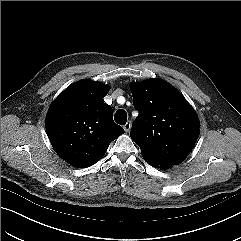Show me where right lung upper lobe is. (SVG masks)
Returning <instances> with one entry per match:
<instances>
[{
  "label": "right lung upper lobe",
  "instance_id": "right-lung-upper-lobe-1",
  "mask_svg": "<svg viewBox=\"0 0 241 241\" xmlns=\"http://www.w3.org/2000/svg\"><path fill=\"white\" fill-rule=\"evenodd\" d=\"M108 91L102 83L80 80L51 104L46 130L53 148L67 163L79 168L92 166L124 133L113 121L112 108L104 103Z\"/></svg>",
  "mask_w": 241,
  "mask_h": 241
}]
</instances>
